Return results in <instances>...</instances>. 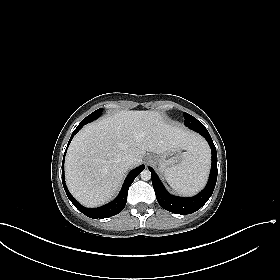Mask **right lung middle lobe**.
<instances>
[{"instance_id": "obj_1", "label": "right lung middle lobe", "mask_w": 280, "mask_h": 280, "mask_svg": "<svg viewBox=\"0 0 280 280\" xmlns=\"http://www.w3.org/2000/svg\"><path fill=\"white\" fill-rule=\"evenodd\" d=\"M102 113V108L97 109L96 111H94L93 113H91L90 115H88L86 118L83 119L84 122L89 123L95 119H97Z\"/></svg>"}]
</instances>
